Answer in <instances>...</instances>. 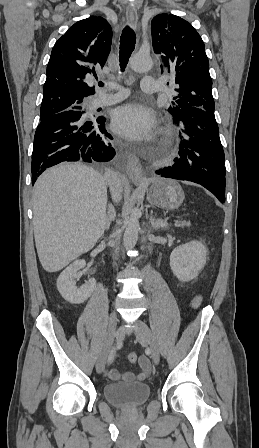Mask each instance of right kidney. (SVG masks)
<instances>
[{
    "instance_id": "right-kidney-1",
    "label": "right kidney",
    "mask_w": 259,
    "mask_h": 448,
    "mask_svg": "<svg viewBox=\"0 0 259 448\" xmlns=\"http://www.w3.org/2000/svg\"><path fill=\"white\" fill-rule=\"evenodd\" d=\"M86 262L85 260H76L73 264H70L64 272H61L58 280H57V290L60 292L62 298L66 300V302H70V304H82L85 300L90 298L93 290L96 288V282L94 278H91L89 282L83 284L81 288H77L76 282L71 280V276L76 274L78 270L81 268H85Z\"/></svg>"
}]
</instances>
